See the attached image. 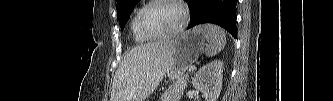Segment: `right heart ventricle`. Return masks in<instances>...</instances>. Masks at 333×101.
Here are the masks:
<instances>
[{"label":"right heart ventricle","mask_w":333,"mask_h":101,"mask_svg":"<svg viewBox=\"0 0 333 101\" xmlns=\"http://www.w3.org/2000/svg\"><path fill=\"white\" fill-rule=\"evenodd\" d=\"M142 8L143 7H140L135 11L130 22L132 36L137 43H144L150 40L148 37H146L144 34L141 33L138 27V16Z\"/></svg>","instance_id":"obj_1"}]
</instances>
